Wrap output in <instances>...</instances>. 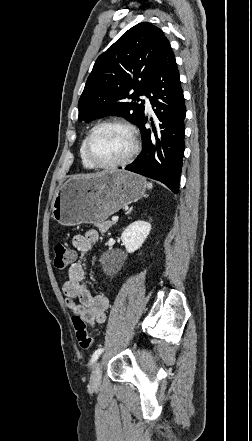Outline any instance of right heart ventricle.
I'll return each mask as SVG.
<instances>
[{
    "mask_svg": "<svg viewBox=\"0 0 252 441\" xmlns=\"http://www.w3.org/2000/svg\"><path fill=\"white\" fill-rule=\"evenodd\" d=\"M84 143H85V139L82 141L79 148V156H80L81 164L85 169L92 170L94 169V167L87 161L84 155Z\"/></svg>",
    "mask_w": 252,
    "mask_h": 441,
    "instance_id": "right-heart-ventricle-1",
    "label": "right heart ventricle"
}]
</instances>
